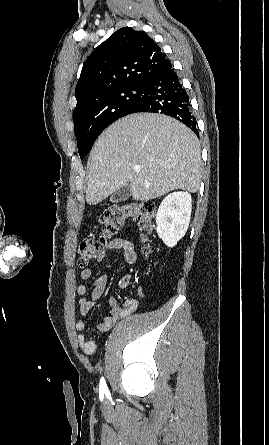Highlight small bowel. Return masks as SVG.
<instances>
[{
	"label": "small bowel",
	"instance_id": "c3829d8e",
	"mask_svg": "<svg viewBox=\"0 0 269 445\" xmlns=\"http://www.w3.org/2000/svg\"><path fill=\"white\" fill-rule=\"evenodd\" d=\"M111 250L121 251L126 263L132 266L137 260V254L134 244L124 238H116L109 241L101 250L98 256V261L105 259L107 253ZM92 277V270L86 268L81 271V278L83 280H89ZM107 285V277H98L91 288H88L84 284H80L76 288V293L80 297L78 300V312L80 316H86L90 310L97 304V301L103 295ZM110 315L106 317L98 326L97 329L100 333H107L118 321L126 318L135 312L138 308V302L135 299H128L123 306L119 304L116 298L111 297L109 299ZM86 329V323L83 320H79L76 323V330L80 333L77 336L79 347L86 354H93L96 351V343L94 340L86 337L84 330Z\"/></svg>",
	"mask_w": 269,
	"mask_h": 445
}]
</instances>
